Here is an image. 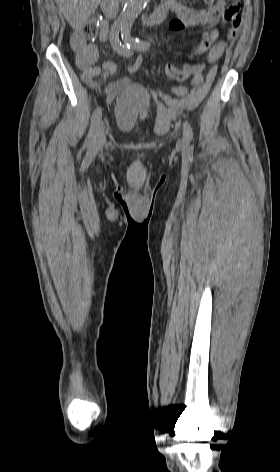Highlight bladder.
Wrapping results in <instances>:
<instances>
[{
    "instance_id": "bladder-1",
    "label": "bladder",
    "mask_w": 280,
    "mask_h": 472,
    "mask_svg": "<svg viewBox=\"0 0 280 472\" xmlns=\"http://www.w3.org/2000/svg\"><path fill=\"white\" fill-rule=\"evenodd\" d=\"M151 107V94L143 85H128L115 101L114 118L116 126L125 132L132 131L138 121L147 115Z\"/></svg>"
}]
</instances>
